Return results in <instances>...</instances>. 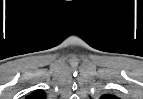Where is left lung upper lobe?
I'll use <instances>...</instances> for the list:
<instances>
[{"label": "left lung upper lobe", "instance_id": "1", "mask_svg": "<svg viewBox=\"0 0 143 99\" xmlns=\"http://www.w3.org/2000/svg\"><path fill=\"white\" fill-rule=\"evenodd\" d=\"M101 99H117V97L114 95H103Z\"/></svg>", "mask_w": 143, "mask_h": 99}]
</instances>
